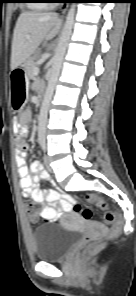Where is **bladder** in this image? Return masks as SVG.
I'll use <instances>...</instances> for the list:
<instances>
[{
  "label": "bladder",
  "mask_w": 136,
  "mask_h": 296,
  "mask_svg": "<svg viewBox=\"0 0 136 296\" xmlns=\"http://www.w3.org/2000/svg\"><path fill=\"white\" fill-rule=\"evenodd\" d=\"M77 230L58 223H45L33 230L34 255L38 261L51 262L62 259L77 242Z\"/></svg>",
  "instance_id": "31cf9c89"
}]
</instances>
